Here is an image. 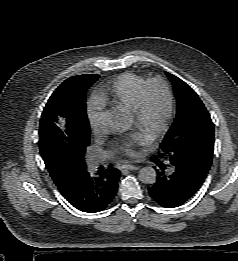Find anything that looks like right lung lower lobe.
<instances>
[{"label":"right lung lower lobe","mask_w":238,"mask_h":261,"mask_svg":"<svg viewBox=\"0 0 238 261\" xmlns=\"http://www.w3.org/2000/svg\"><path fill=\"white\" fill-rule=\"evenodd\" d=\"M119 178V170L113 168L99 171L97 177L86 171L61 193L75 208L83 212H99L112 202Z\"/></svg>","instance_id":"right-lung-lower-lobe-1"}]
</instances>
